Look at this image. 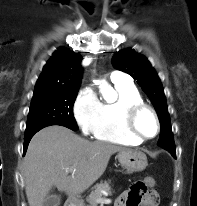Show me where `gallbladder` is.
<instances>
[{
  "label": "gallbladder",
  "instance_id": "obj_1",
  "mask_svg": "<svg viewBox=\"0 0 197 206\" xmlns=\"http://www.w3.org/2000/svg\"><path fill=\"white\" fill-rule=\"evenodd\" d=\"M60 202H61L60 195L53 193V191H51L46 196L43 206H59Z\"/></svg>",
  "mask_w": 197,
  "mask_h": 206
}]
</instances>
